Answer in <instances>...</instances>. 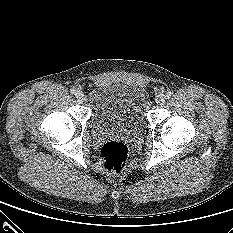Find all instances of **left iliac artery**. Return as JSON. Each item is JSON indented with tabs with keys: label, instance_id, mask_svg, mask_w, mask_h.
<instances>
[{
	"label": "left iliac artery",
	"instance_id": "44dca946",
	"mask_svg": "<svg viewBox=\"0 0 233 233\" xmlns=\"http://www.w3.org/2000/svg\"><path fill=\"white\" fill-rule=\"evenodd\" d=\"M171 96H172V92H167V93H166V97H167V98H170Z\"/></svg>",
	"mask_w": 233,
	"mask_h": 233
}]
</instances>
